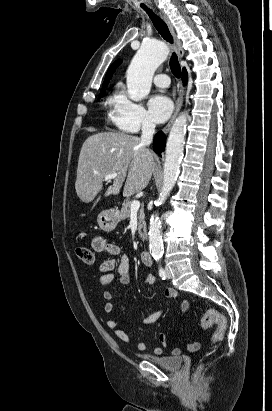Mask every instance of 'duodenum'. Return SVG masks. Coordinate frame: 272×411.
<instances>
[{
	"label": "duodenum",
	"mask_w": 272,
	"mask_h": 411,
	"mask_svg": "<svg viewBox=\"0 0 272 411\" xmlns=\"http://www.w3.org/2000/svg\"><path fill=\"white\" fill-rule=\"evenodd\" d=\"M141 259H142V262L147 266H151L153 264V258L150 252L147 250H144L141 252Z\"/></svg>",
	"instance_id": "obj_1"
}]
</instances>
